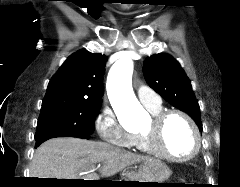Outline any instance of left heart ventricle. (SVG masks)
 <instances>
[{
	"label": "left heart ventricle",
	"mask_w": 240,
	"mask_h": 187,
	"mask_svg": "<svg viewBox=\"0 0 240 187\" xmlns=\"http://www.w3.org/2000/svg\"><path fill=\"white\" fill-rule=\"evenodd\" d=\"M150 120L142 129H151ZM160 146L166 152L175 156H186L194 147V136L187 122L178 115H171L167 118L161 128Z\"/></svg>",
	"instance_id": "1"
}]
</instances>
